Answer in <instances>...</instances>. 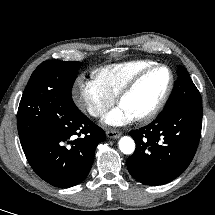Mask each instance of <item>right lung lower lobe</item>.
Segmentation results:
<instances>
[{"label": "right lung lower lobe", "mask_w": 215, "mask_h": 215, "mask_svg": "<svg viewBox=\"0 0 215 215\" xmlns=\"http://www.w3.org/2000/svg\"><path fill=\"white\" fill-rule=\"evenodd\" d=\"M104 140L105 132L77 110L21 145L40 178L55 187L68 188L88 175L96 146Z\"/></svg>", "instance_id": "obj_1"}]
</instances>
